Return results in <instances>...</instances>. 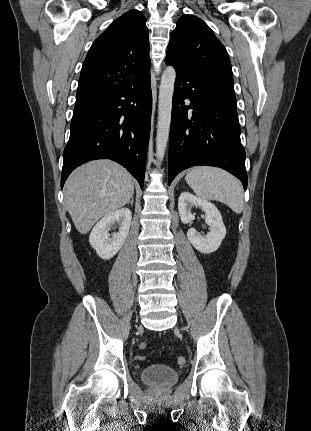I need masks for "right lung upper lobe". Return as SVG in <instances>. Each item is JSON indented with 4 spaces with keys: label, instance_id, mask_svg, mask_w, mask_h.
Wrapping results in <instances>:
<instances>
[{
    "label": "right lung upper lobe",
    "instance_id": "1",
    "mask_svg": "<svg viewBox=\"0 0 311 431\" xmlns=\"http://www.w3.org/2000/svg\"><path fill=\"white\" fill-rule=\"evenodd\" d=\"M148 70L146 19L142 12L130 10L92 44L82 66L76 97L133 82Z\"/></svg>",
    "mask_w": 311,
    "mask_h": 431
}]
</instances>
